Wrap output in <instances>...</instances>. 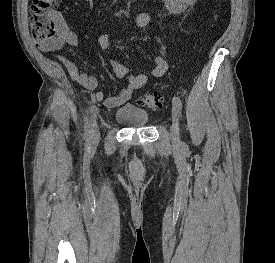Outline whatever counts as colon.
Listing matches in <instances>:
<instances>
[{"instance_id": "colon-1", "label": "colon", "mask_w": 275, "mask_h": 263, "mask_svg": "<svg viewBox=\"0 0 275 263\" xmlns=\"http://www.w3.org/2000/svg\"><path fill=\"white\" fill-rule=\"evenodd\" d=\"M59 0H32L30 9V27L33 40L37 44L52 41L58 33V22L52 10ZM140 104L148 108H159L164 98L158 93L143 94L139 98Z\"/></svg>"}]
</instances>
